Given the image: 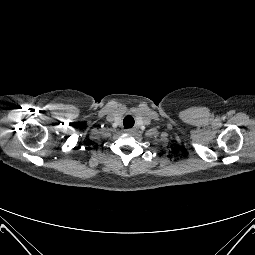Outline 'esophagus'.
<instances>
[{"label": "esophagus", "instance_id": "1", "mask_svg": "<svg viewBox=\"0 0 255 255\" xmlns=\"http://www.w3.org/2000/svg\"><path fill=\"white\" fill-rule=\"evenodd\" d=\"M126 132H127V133H132V132H133V129H130V128H129V129H126Z\"/></svg>", "mask_w": 255, "mask_h": 255}]
</instances>
